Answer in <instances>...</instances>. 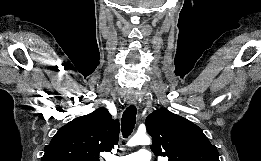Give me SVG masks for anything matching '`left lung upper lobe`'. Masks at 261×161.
Returning <instances> with one entry per match:
<instances>
[{
    "instance_id": "left-lung-upper-lobe-1",
    "label": "left lung upper lobe",
    "mask_w": 261,
    "mask_h": 161,
    "mask_svg": "<svg viewBox=\"0 0 261 161\" xmlns=\"http://www.w3.org/2000/svg\"><path fill=\"white\" fill-rule=\"evenodd\" d=\"M145 124L156 156L168 157V161H219L216 146L191 121L159 109L146 118Z\"/></svg>"
}]
</instances>
